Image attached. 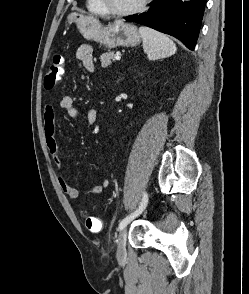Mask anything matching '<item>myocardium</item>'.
I'll return each mask as SVG.
<instances>
[{
  "label": "myocardium",
  "mask_w": 249,
  "mask_h": 294,
  "mask_svg": "<svg viewBox=\"0 0 249 294\" xmlns=\"http://www.w3.org/2000/svg\"><path fill=\"white\" fill-rule=\"evenodd\" d=\"M149 0H141L136 6L127 9V10H114L110 8L105 0H98L99 5L103 8L107 15L116 16V17H126L137 14L144 10Z\"/></svg>",
  "instance_id": "myocardium-1"
}]
</instances>
